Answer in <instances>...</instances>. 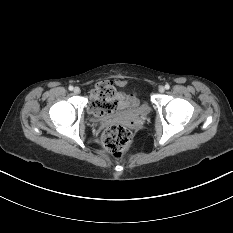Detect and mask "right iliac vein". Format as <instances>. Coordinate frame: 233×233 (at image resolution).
I'll return each instance as SVG.
<instances>
[{"label": "right iliac vein", "mask_w": 233, "mask_h": 233, "mask_svg": "<svg viewBox=\"0 0 233 233\" xmlns=\"http://www.w3.org/2000/svg\"><path fill=\"white\" fill-rule=\"evenodd\" d=\"M73 91L75 94H79L81 92L79 87H75Z\"/></svg>", "instance_id": "63e3f726"}]
</instances>
